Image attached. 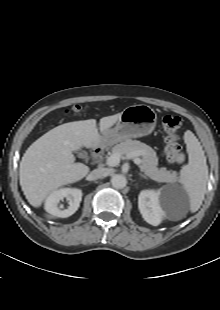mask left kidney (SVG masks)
Here are the masks:
<instances>
[{
  "mask_svg": "<svg viewBox=\"0 0 220 310\" xmlns=\"http://www.w3.org/2000/svg\"><path fill=\"white\" fill-rule=\"evenodd\" d=\"M138 207L144 220L157 226L166 214L168 200L163 198L160 191L143 190L138 197Z\"/></svg>",
  "mask_w": 220,
  "mask_h": 310,
  "instance_id": "left-kidney-1",
  "label": "left kidney"
}]
</instances>
